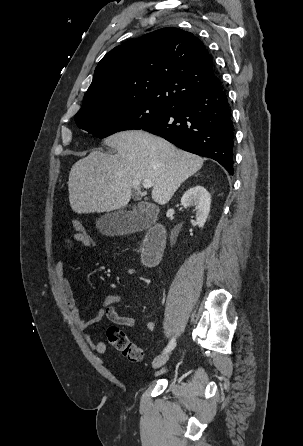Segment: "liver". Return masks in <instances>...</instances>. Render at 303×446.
I'll list each match as a JSON object with an SVG mask.
<instances>
[{
	"label": "liver",
	"instance_id": "liver-1",
	"mask_svg": "<svg viewBox=\"0 0 303 446\" xmlns=\"http://www.w3.org/2000/svg\"><path fill=\"white\" fill-rule=\"evenodd\" d=\"M104 143L115 155L92 151L71 168L69 201L78 214L125 207L134 182L151 180L152 199L165 205L181 184L201 169L204 159L144 131H123Z\"/></svg>",
	"mask_w": 303,
	"mask_h": 446
}]
</instances>
